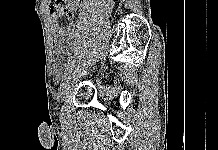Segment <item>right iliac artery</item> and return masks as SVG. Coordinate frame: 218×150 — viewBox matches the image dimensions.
<instances>
[{"label": "right iliac artery", "instance_id": "right-iliac-artery-1", "mask_svg": "<svg viewBox=\"0 0 218 150\" xmlns=\"http://www.w3.org/2000/svg\"><path fill=\"white\" fill-rule=\"evenodd\" d=\"M74 59H75V57H72L70 60H69V62L73 65L75 62H74Z\"/></svg>", "mask_w": 218, "mask_h": 150}]
</instances>
